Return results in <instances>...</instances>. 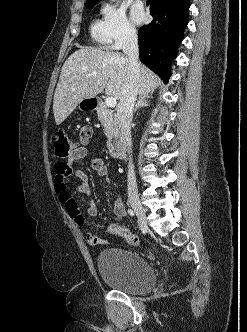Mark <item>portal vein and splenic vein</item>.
Segmentation results:
<instances>
[{
    "label": "portal vein and splenic vein",
    "instance_id": "obj_1",
    "mask_svg": "<svg viewBox=\"0 0 247 332\" xmlns=\"http://www.w3.org/2000/svg\"><path fill=\"white\" fill-rule=\"evenodd\" d=\"M105 103L108 107H115L116 104H117V101H116V98L110 96V97H107L106 100H105Z\"/></svg>",
    "mask_w": 247,
    "mask_h": 332
}]
</instances>
